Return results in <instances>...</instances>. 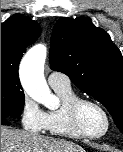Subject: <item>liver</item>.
<instances>
[{
    "label": "liver",
    "instance_id": "6515ba94",
    "mask_svg": "<svg viewBox=\"0 0 123 152\" xmlns=\"http://www.w3.org/2000/svg\"><path fill=\"white\" fill-rule=\"evenodd\" d=\"M1 152H85L69 141L1 127Z\"/></svg>",
    "mask_w": 123,
    "mask_h": 152
}]
</instances>
